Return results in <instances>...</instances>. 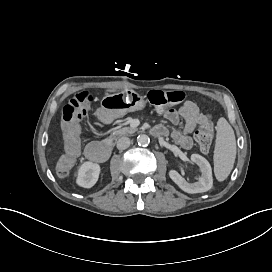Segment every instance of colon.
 I'll use <instances>...</instances> for the list:
<instances>
[{
    "instance_id": "obj_1",
    "label": "colon",
    "mask_w": 272,
    "mask_h": 272,
    "mask_svg": "<svg viewBox=\"0 0 272 272\" xmlns=\"http://www.w3.org/2000/svg\"><path fill=\"white\" fill-rule=\"evenodd\" d=\"M149 101L155 109L162 110L164 107L171 108L174 104L183 100V94L180 91H160L151 90L149 92ZM93 95L89 91H82L71 98L62 109L61 123L63 126V153L62 159L57 167L59 177H64L73 168V164L80 155V135L77 132L78 123L88 113L87 106L92 102ZM213 115L210 112L203 113L200 124L202 128L196 136V141L202 150L209 149L213 141V130L211 122Z\"/></svg>"
}]
</instances>
